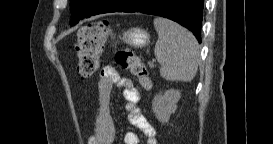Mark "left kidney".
Listing matches in <instances>:
<instances>
[{
    "label": "left kidney",
    "mask_w": 273,
    "mask_h": 144,
    "mask_svg": "<svg viewBox=\"0 0 273 144\" xmlns=\"http://www.w3.org/2000/svg\"><path fill=\"white\" fill-rule=\"evenodd\" d=\"M181 97L179 90L170 89L163 94L160 92L152 100V109L156 118L162 123H168L170 115L175 113L177 102Z\"/></svg>",
    "instance_id": "obj_1"
}]
</instances>
